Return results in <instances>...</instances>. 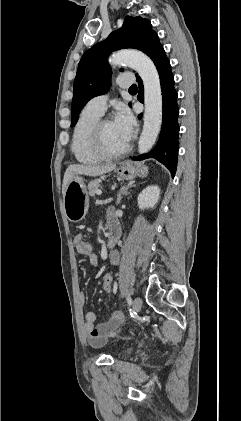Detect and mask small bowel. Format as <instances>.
Returning a JSON list of instances; mask_svg holds the SVG:
<instances>
[{"instance_id": "1", "label": "small bowel", "mask_w": 241, "mask_h": 421, "mask_svg": "<svg viewBox=\"0 0 241 421\" xmlns=\"http://www.w3.org/2000/svg\"><path fill=\"white\" fill-rule=\"evenodd\" d=\"M83 235L81 233L77 234L73 242L77 246L83 241ZM87 256L90 264L96 266L98 264V257L93 252L85 254ZM119 253L117 251H111L109 254V261L111 264H117L119 262ZM79 300L84 303L85 295L84 293L79 294ZM96 314L92 311H89L85 315L84 327L86 330L87 341L92 347H102L105 345L109 336L115 334L117 329L124 324L125 317L120 312H114L110 319L99 323L95 326Z\"/></svg>"}]
</instances>
